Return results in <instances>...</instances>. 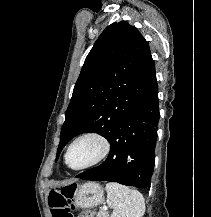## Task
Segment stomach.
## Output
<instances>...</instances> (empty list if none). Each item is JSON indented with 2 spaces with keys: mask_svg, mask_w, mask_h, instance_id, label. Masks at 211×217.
Listing matches in <instances>:
<instances>
[{
  "mask_svg": "<svg viewBox=\"0 0 211 217\" xmlns=\"http://www.w3.org/2000/svg\"><path fill=\"white\" fill-rule=\"evenodd\" d=\"M75 204L81 208H91L103 201V188L96 182L78 186L74 192Z\"/></svg>",
  "mask_w": 211,
  "mask_h": 217,
  "instance_id": "1",
  "label": "stomach"
}]
</instances>
